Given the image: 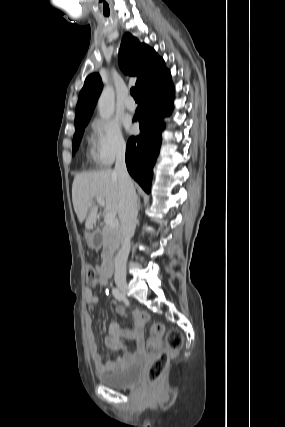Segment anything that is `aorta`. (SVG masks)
I'll return each instance as SVG.
<instances>
[{
  "mask_svg": "<svg viewBox=\"0 0 285 427\" xmlns=\"http://www.w3.org/2000/svg\"><path fill=\"white\" fill-rule=\"evenodd\" d=\"M115 95L112 86H106L98 100V111L102 119H110L114 114Z\"/></svg>",
  "mask_w": 285,
  "mask_h": 427,
  "instance_id": "1",
  "label": "aorta"
}]
</instances>
